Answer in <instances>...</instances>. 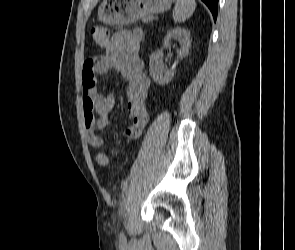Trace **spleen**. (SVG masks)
Segmentation results:
<instances>
[{
    "instance_id": "obj_1",
    "label": "spleen",
    "mask_w": 295,
    "mask_h": 250,
    "mask_svg": "<svg viewBox=\"0 0 295 250\" xmlns=\"http://www.w3.org/2000/svg\"><path fill=\"white\" fill-rule=\"evenodd\" d=\"M195 0H176L173 10V19L175 22H184L190 18L195 11Z\"/></svg>"
}]
</instances>
